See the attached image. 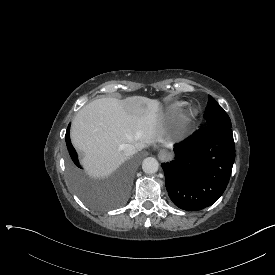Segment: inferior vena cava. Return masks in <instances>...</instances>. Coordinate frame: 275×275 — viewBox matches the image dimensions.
Returning <instances> with one entry per match:
<instances>
[{
	"instance_id": "obj_1",
	"label": "inferior vena cava",
	"mask_w": 275,
	"mask_h": 275,
	"mask_svg": "<svg viewBox=\"0 0 275 275\" xmlns=\"http://www.w3.org/2000/svg\"><path fill=\"white\" fill-rule=\"evenodd\" d=\"M123 152L126 156H131L136 153V148L132 144H125L123 146Z\"/></svg>"
}]
</instances>
